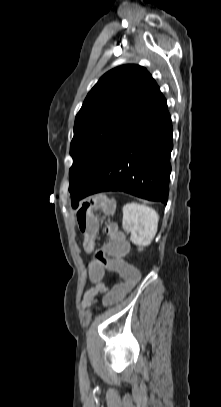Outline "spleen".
<instances>
[{
	"label": "spleen",
	"instance_id": "1",
	"mask_svg": "<svg viewBox=\"0 0 221 407\" xmlns=\"http://www.w3.org/2000/svg\"><path fill=\"white\" fill-rule=\"evenodd\" d=\"M159 216L151 207L135 202L123 207V229L130 233V240L136 245H148L155 237Z\"/></svg>",
	"mask_w": 221,
	"mask_h": 407
}]
</instances>
